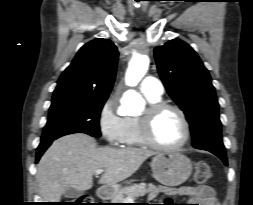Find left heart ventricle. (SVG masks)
Here are the masks:
<instances>
[{
	"mask_svg": "<svg viewBox=\"0 0 253 205\" xmlns=\"http://www.w3.org/2000/svg\"><path fill=\"white\" fill-rule=\"evenodd\" d=\"M153 132L157 142L173 146L183 140L185 128L179 115L174 111L167 110L155 121Z\"/></svg>",
	"mask_w": 253,
	"mask_h": 205,
	"instance_id": "1",
	"label": "left heart ventricle"
}]
</instances>
